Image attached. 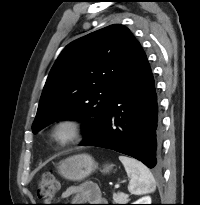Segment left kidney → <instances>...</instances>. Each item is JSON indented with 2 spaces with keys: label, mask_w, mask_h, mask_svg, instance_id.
<instances>
[{
  "label": "left kidney",
  "mask_w": 200,
  "mask_h": 205,
  "mask_svg": "<svg viewBox=\"0 0 200 205\" xmlns=\"http://www.w3.org/2000/svg\"><path fill=\"white\" fill-rule=\"evenodd\" d=\"M133 204H151V197L150 196H144L134 202Z\"/></svg>",
  "instance_id": "obj_1"
}]
</instances>
